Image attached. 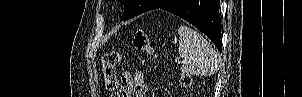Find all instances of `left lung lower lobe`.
Returning <instances> with one entry per match:
<instances>
[{
	"label": "left lung lower lobe",
	"mask_w": 302,
	"mask_h": 97,
	"mask_svg": "<svg viewBox=\"0 0 302 97\" xmlns=\"http://www.w3.org/2000/svg\"><path fill=\"white\" fill-rule=\"evenodd\" d=\"M219 7L220 0H154L143 12L161 8L180 16L205 33L221 52Z\"/></svg>",
	"instance_id": "obj_1"
}]
</instances>
